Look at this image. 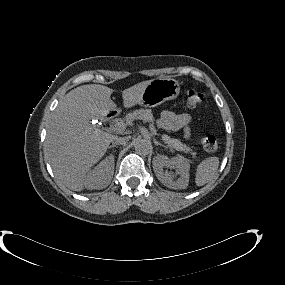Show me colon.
I'll use <instances>...</instances> for the list:
<instances>
[{
  "mask_svg": "<svg viewBox=\"0 0 285 285\" xmlns=\"http://www.w3.org/2000/svg\"><path fill=\"white\" fill-rule=\"evenodd\" d=\"M203 101V94L194 88H189L186 91V102L191 108L197 107ZM200 144L208 153H214L218 149V142L215 136L211 134L204 135L200 139Z\"/></svg>",
  "mask_w": 285,
  "mask_h": 285,
  "instance_id": "obj_1",
  "label": "colon"
}]
</instances>
